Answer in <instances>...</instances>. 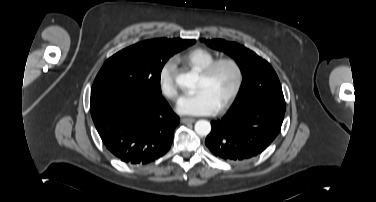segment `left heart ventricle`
<instances>
[{"label": "left heart ventricle", "mask_w": 376, "mask_h": 202, "mask_svg": "<svg viewBox=\"0 0 376 202\" xmlns=\"http://www.w3.org/2000/svg\"><path fill=\"white\" fill-rule=\"evenodd\" d=\"M234 83L235 73L233 69L228 65H222L209 79L200 75L198 89L208 88L221 105L231 92Z\"/></svg>", "instance_id": "obj_1"}]
</instances>
